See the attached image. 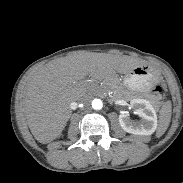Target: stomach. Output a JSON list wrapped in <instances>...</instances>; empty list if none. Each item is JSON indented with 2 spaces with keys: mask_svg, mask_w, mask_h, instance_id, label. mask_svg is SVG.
I'll return each mask as SVG.
<instances>
[{
  "mask_svg": "<svg viewBox=\"0 0 183 183\" xmlns=\"http://www.w3.org/2000/svg\"><path fill=\"white\" fill-rule=\"evenodd\" d=\"M156 79V71L145 65H140L126 73L123 86L133 91L146 92Z\"/></svg>",
  "mask_w": 183,
  "mask_h": 183,
  "instance_id": "obj_1",
  "label": "stomach"
}]
</instances>
